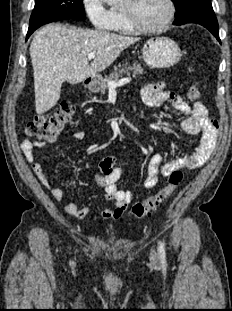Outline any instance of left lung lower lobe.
<instances>
[{"label": "left lung lower lobe", "instance_id": "left-lung-lower-lobe-1", "mask_svg": "<svg viewBox=\"0 0 232 311\" xmlns=\"http://www.w3.org/2000/svg\"><path fill=\"white\" fill-rule=\"evenodd\" d=\"M175 17L173 24H200L207 28L216 39L221 42L219 38L218 22L212 8L211 0H199L175 15Z\"/></svg>", "mask_w": 232, "mask_h": 311}]
</instances>
